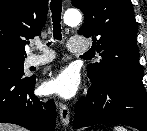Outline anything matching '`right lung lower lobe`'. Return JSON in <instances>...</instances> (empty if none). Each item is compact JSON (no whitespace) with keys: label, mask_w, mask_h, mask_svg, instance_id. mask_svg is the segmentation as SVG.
<instances>
[{"label":"right lung lower lobe","mask_w":147,"mask_h":131,"mask_svg":"<svg viewBox=\"0 0 147 131\" xmlns=\"http://www.w3.org/2000/svg\"><path fill=\"white\" fill-rule=\"evenodd\" d=\"M35 79L0 78V122L30 131L55 130V104L53 100L42 102L33 94Z\"/></svg>","instance_id":"1"}]
</instances>
